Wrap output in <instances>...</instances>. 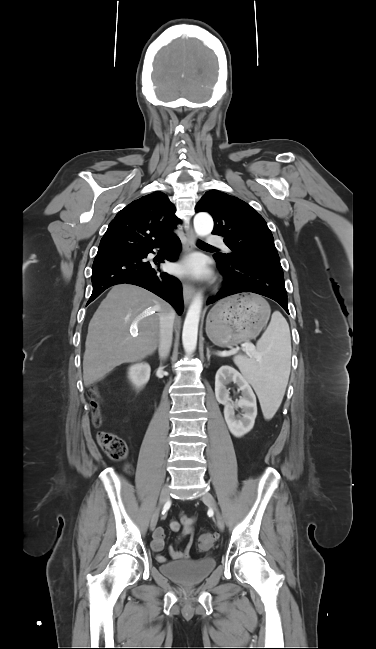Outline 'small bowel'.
Listing matches in <instances>:
<instances>
[{
	"instance_id": "c3829d8e",
	"label": "small bowel",
	"mask_w": 376,
	"mask_h": 649,
	"mask_svg": "<svg viewBox=\"0 0 376 649\" xmlns=\"http://www.w3.org/2000/svg\"><path fill=\"white\" fill-rule=\"evenodd\" d=\"M193 525V517L186 514H182L178 520H172L170 522V529L177 534L176 541H179L184 537H189V541L183 550L177 548L175 545L170 546L169 552L170 556L173 559H182L188 557L189 551L193 544ZM164 535V529L162 527H157L153 532V540L151 546L152 549L157 553H159L164 547ZM156 558L159 562L166 561V558L160 554H158Z\"/></svg>"
}]
</instances>
